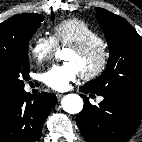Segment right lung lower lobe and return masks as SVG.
Here are the masks:
<instances>
[{
    "label": "right lung lower lobe",
    "instance_id": "obj_1",
    "mask_svg": "<svg viewBox=\"0 0 142 142\" xmlns=\"http://www.w3.org/2000/svg\"><path fill=\"white\" fill-rule=\"evenodd\" d=\"M57 98L39 93L32 97L22 90L0 111V142H36Z\"/></svg>",
    "mask_w": 142,
    "mask_h": 142
}]
</instances>
